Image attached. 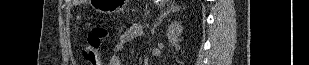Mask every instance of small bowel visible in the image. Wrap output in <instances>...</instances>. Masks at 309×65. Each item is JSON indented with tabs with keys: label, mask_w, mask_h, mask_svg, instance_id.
I'll use <instances>...</instances> for the list:
<instances>
[{
	"label": "small bowel",
	"mask_w": 309,
	"mask_h": 65,
	"mask_svg": "<svg viewBox=\"0 0 309 65\" xmlns=\"http://www.w3.org/2000/svg\"><path fill=\"white\" fill-rule=\"evenodd\" d=\"M143 33V29L140 24H134L125 29L118 37L116 44L117 49H122L126 45L138 39ZM122 59L119 54L115 53L110 55L108 65H122Z\"/></svg>",
	"instance_id": "obj_1"
}]
</instances>
